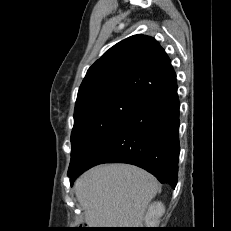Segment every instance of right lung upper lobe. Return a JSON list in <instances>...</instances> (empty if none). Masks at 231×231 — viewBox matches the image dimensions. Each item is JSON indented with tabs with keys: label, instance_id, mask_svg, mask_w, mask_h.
<instances>
[{
	"label": "right lung upper lobe",
	"instance_id": "right-lung-upper-lobe-1",
	"mask_svg": "<svg viewBox=\"0 0 231 231\" xmlns=\"http://www.w3.org/2000/svg\"><path fill=\"white\" fill-rule=\"evenodd\" d=\"M177 88L171 61L152 37L134 35L110 48L87 71L75 110L112 94L156 97Z\"/></svg>",
	"mask_w": 231,
	"mask_h": 231
}]
</instances>
